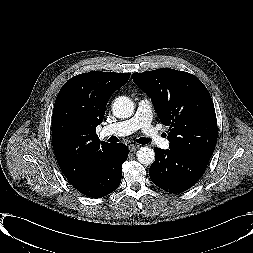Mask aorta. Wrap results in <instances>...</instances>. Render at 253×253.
Wrapping results in <instances>:
<instances>
[{"instance_id": "1", "label": "aorta", "mask_w": 253, "mask_h": 253, "mask_svg": "<svg viewBox=\"0 0 253 253\" xmlns=\"http://www.w3.org/2000/svg\"><path fill=\"white\" fill-rule=\"evenodd\" d=\"M112 111L117 118H129L134 113V103L129 97L120 96L115 99ZM137 159L141 164L151 165L155 161V152L150 147H141L137 151Z\"/></svg>"}]
</instances>
